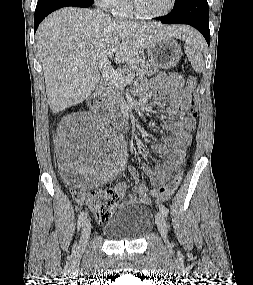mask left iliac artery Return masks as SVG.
<instances>
[{
  "instance_id": "1",
  "label": "left iliac artery",
  "mask_w": 253,
  "mask_h": 285,
  "mask_svg": "<svg viewBox=\"0 0 253 285\" xmlns=\"http://www.w3.org/2000/svg\"><path fill=\"white\" fill-rule=\"evenodd\" d=\"M160 211L163 213L164 216H168L169 210L164 205H159Z\"/></svg>"
}]
</instances>
